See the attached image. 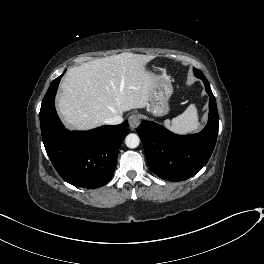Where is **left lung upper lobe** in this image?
<instances>
[{
	"label": "left lung upper lobe",
	"mask_w": 264,
	"mask_h": 264,
	"mask_svg": "<svg viewBox=\"0 0 264 264\" xmlns=\"http://www.w3.org/2000/svg\"><path fill=\"white\" fill-rule=\"evenodd\" d=\"M194 74L197 75V74H203L200 70L194 68Z\"/></svg>",
	"instance_id": "1"
}]
</instances>
